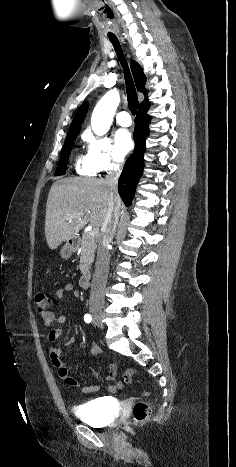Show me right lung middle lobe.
I'll list each match as a JSON object with an SVG mask.
<instances>
[{"mask_svg":"<svg viewBox=\"0 0 236 467\" xmlns=\"http://www.w3.org/2000/svg\"><path fill=\"white\" fill-rule=\"evenodd\" d=\"M78 133L69 134L66 137L64 146L61 150L60 160L57 165L55 176L63 175L66 172V166L68 162L69 154L74 146V141L76 140Z\"/></svg>","mask_w":236,"mask_h":467,"instance_id":"obj_1","label":"right lung middle lobe"}]
</instances>
